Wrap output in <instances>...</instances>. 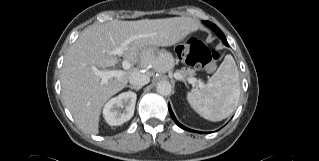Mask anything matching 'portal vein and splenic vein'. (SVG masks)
Returning a JSON list of instances; mask_svg holds the SVG:
<instances>
[{"label": "portal vein and splenic vein", "mask_w": 319, "mask_h": 161, "mask_svg": "<svg viewBox=\"0 0 319 161\" xmlns=\"http://www.w3.org/2000/svg\"><path fill=\"white\" fill-rule=\"evenodd\" d=\"M133 41V38H129L125 40L120 46L114 48L112 50V54L122 56L124 53V50L128 44H130ZM122 66L124 70H129L131 68V63L128 60H123L122 61ZM95 74L101 78L103 83H106L109 79L111 78H119L124 75L125 71L122 70H105V71H100L97 68H93ZM174 77L178 80H183V76L180 73H175ZM187 81L191 84H194L196 82L195 78H189Z\"/></svg>", "instance_id": "1"}]
</instances>
